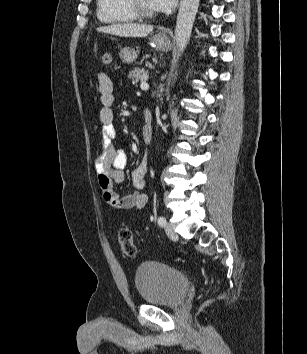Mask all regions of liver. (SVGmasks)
<instances>
[{
	"instance_id": "obj_1",
	"label": "liver",
	"mask_w": 307,
	"mask_h": 354,
	"mask_svg": "<svg viewBox=\"0 0 307 354\" xmlns=\"http://www.w3.org/2000/svg\"><path fill=\"white\" fill-rule=\"evenodd\" d=\"M153 30L151 25L119 23L98 27L97 31L120 37H145Z\"/></svg>"
}]
</instances>
